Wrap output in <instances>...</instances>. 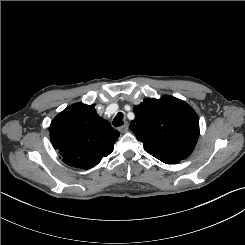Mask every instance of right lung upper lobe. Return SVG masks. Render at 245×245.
Returning <instances> with one entry per match:
<instances>
[{"label":"right lung upper lobe","mask_w":245,"mask_h":245,"mask_svg":"<svg viewBox=\"0 0 245 245\" xmlns=\"http://www.w3.org/2000/svg\"><path fill=\"white\" fill-rule=\"evenodd\" d=\"M50 140L67 165L89 169L108 156L119 137L101 118L95 105L73 104L60 112L49 127Z\"/></svg>","instance_id":"cb5924a9"}]
</instances>
